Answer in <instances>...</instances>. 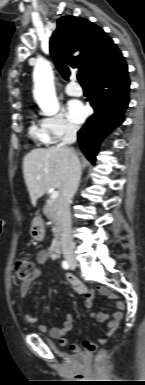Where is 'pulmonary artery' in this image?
Wrapping results in <instances>:
<instances>
[{"instance_id":"e3ab8cb5","label":"pulmonary artery","mask_w":145,"mask_h":385,"mask_svg":"<svg viewBox=\"0 0 145 385\" xmlns=\"http://www.w3.org/2000/svg\"><path fill=\"white\" fill-rule=\"evenodd\" d=\"M65 91L71 96H81L83 90L81 86L76 81H71L65 86Z\"/></svg>"}]
</instances>
